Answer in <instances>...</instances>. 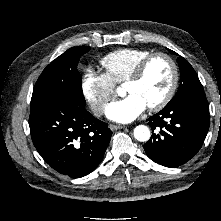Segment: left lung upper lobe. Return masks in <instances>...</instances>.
<instances>
[{
    "label": "left lung upper lobe",
    "instance_id": "1",
    "mask_svg": "<svg viewBox=\"0 0 221 221\" xmlns=\"http://www.w3.org/2000/svg\"><path fill=\"white\" fill-rule=\"evenodd\" d=\"M174 54V51H171ZM180 69V86L176 95L166 106L175 105L186 99L206 98L203 86L192 66L183 57L177 59Z\"/></svg>",
    "mask_w": 221,
    "mask_h": 221
}]
</instances>
